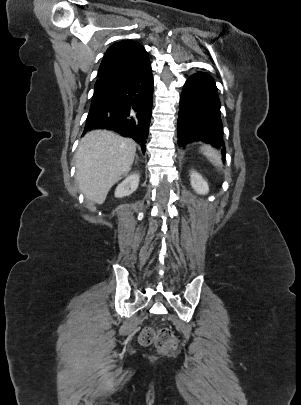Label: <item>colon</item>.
<instances>
[{"label":"colon","mask_w":301,"mask_h":405,"mask_svg":"<svg viewBox=\"0 0 301 405\" xmlns=\"http://www.w3.org/2000/svg\"><path fill=\"white\" fill-rule=\"evenodd\" d=\"M138 341L142 346L154 345L161 353L171 351L177 346V338L168 328L155 330L152 327H146L141 331Z\"/></svg>","instance_id":"obj_1"}]
</instances>
